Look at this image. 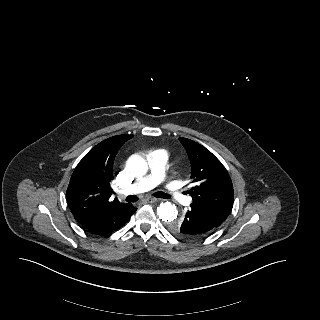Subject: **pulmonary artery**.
<instances>
[{
    "label": "pulmonary artery",
    "mask_w": 320,
    "mask_h": 320,
    "mask_svg": "<svg viewBox=\"0 0 320 320\" xmlns=\"http://www.w3.org/2000/svg\"><path fill=\"white\" fill-rule=\"evenodd\" d=\"M168 155L164 150H155L148 153V164L150 173L144 177L138 178L132 185L127 187L123 193L137 194L148 191L160 183L165 182L166 166ZM165 190L170 197L179 202L186 200V197L181 193L178 187L172 182L165 183Z\"/></svg>",
    "instance_id": "1"
}]
</instances>
